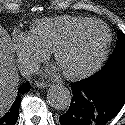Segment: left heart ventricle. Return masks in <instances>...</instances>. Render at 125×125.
<instances>
[{
	"instance_id": "left-heart-ventricle-1",
	"label": "left heart ventricle",
	"mask_w": 125,
	"mask_h": 125,
	"mask_svg": "<svg viewBox=\"0 0 125 125\" xmlns=\"http://www.w3.org/2000/svg\"><path fill=\"white\" fill-rule=\"evenodd\" d=\"M105 40L106 33L101 25L84 28L61 50L57 61L59 68L74 73L90 66L102 52Z\"/></svg>"
}]
</instances>
